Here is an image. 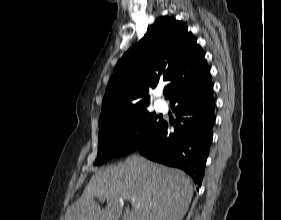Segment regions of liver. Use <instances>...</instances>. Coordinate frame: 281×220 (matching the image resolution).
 Returning a JSON list of instances; mask_svg holds the SVG:
<instances>
[{
	"label": "liver",
	"instance_id": "liver-1",
	"mask_svg": "<svg viewBox=\"0 0 281 220\" xmlns=\"http://www.w3.org/2000/svg\"><path fill=\"white\" fill-rule=\"evenodd\" d=\"M192 195L193 186L184 172L132 155L96 172L67 209L65 220H119L123 199L132 203V209L125 208L123 220H182ZM95 198L106 200L105 209Z\"/></svg>",
	"mask_w": 281,
	"mask_h": 220
}]
</instances>
